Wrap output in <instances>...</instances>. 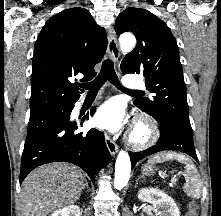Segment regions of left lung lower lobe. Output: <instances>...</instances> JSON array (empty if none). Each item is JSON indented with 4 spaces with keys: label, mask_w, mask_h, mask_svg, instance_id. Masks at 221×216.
Segmentation results:
<instances>
[{
    "label": "left lung lower lobe",
    "mask_w": 221,
    "mask_h": 216,
    "mask_svg": "<svg viewBox=\"0 0 221 216\" xmlns=\"http://www.w3.org/2000/svg\"><path fill=\"white\" fill-rule=\"evenodd\" d=\"M159 127L161 134L156 145L142 152H129L133 167L139 160L146 156L169 150L186 153L198 162L193 143V133L187 132L186 130L170 123L159 124Z\"/></svg>",
    "instance_id": "1"
}]
</instances>
